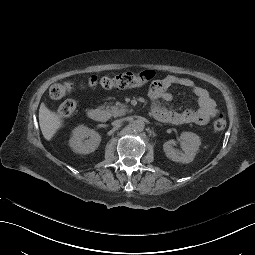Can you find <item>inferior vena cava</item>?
Listing matches in <instances>:
<instances>
[{
    "label": "inferior vena cava",
    "mask_w": 255,
    "mask_h": 255,
    "mask_svg": "<svg viewBox=\"0 0 255 255\" xmlns=\"http://www.w3.org/2000/svg\"><path fill=\"white\" fill-rule=\"evenodd\" d=\"M121 123H122L121 120H115L112 122V125L117 126V125H120Z\"/></svg>",
    "instance_id": "obj_1"
}]
</instances>
